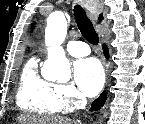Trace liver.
I'll return each mask as SVG.
<instances>
[{"label": "liver", "instance_id": "1", "mask_svg": "<svg viewBox=\"0 0 145 124\" xmlns=\"http://www.w3.org/2000/svg\"><path fill=\"white\" fill-rule=\"evenodd\" d=\"M19 124H72L68 119L62 117H48L36 115H21L18 117Z\"/></svg>", "mask_w": 145, "mask_h": 124}]
</instances>
